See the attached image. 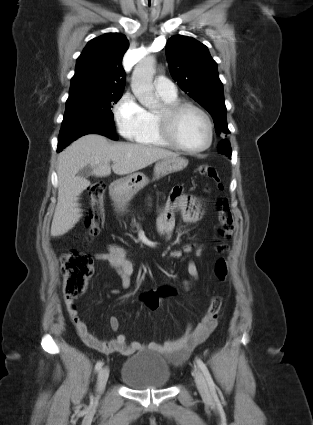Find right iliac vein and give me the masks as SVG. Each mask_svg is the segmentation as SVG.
Here are the masks:
<instances>
[{
  "instance_id": "1",
  "label": "right iliac vein",
  "mask_w": 313,
  "mask_h": 425,
  "mask_svg": "<svg viewBox=\"0 0 313 425\" xmlns=\"http://www.w3.org/2000/svg\"><path fill=\"white\" fill-rule=\"evenodd\" d=\"M108 377H109V367L104 366L99 371V374H98V380L96 385L97 396L95 399H98V397L103 393Z\"/></svg>"
}]
</instances>
